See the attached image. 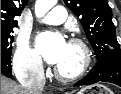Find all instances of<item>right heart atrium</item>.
I'll list each match as a JSON object with an SVG mask.
<instances>
[{
  "label": "right heart atrium",
  "mask_w": 121,
  "mask_h": 94,
  "mask_svg": "<svg viewBox=\"0 0 121 94\" xmlns=\"http://www.w3.org/2000/svg\"><path fill=\"white\" fill-rule=\"evenodd\" d=\"M13 70L19 78H40L43 66L26 39L20 40L13 57Z\"/></svg>",
  "instance_id": "right-heart-atrium-1"
}]
</instances>
